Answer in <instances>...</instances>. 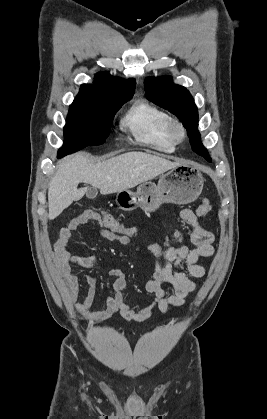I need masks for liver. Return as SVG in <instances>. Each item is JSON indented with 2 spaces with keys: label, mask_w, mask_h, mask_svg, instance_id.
<instances>
[{
  "label": "liver",
  "mask_w": 267,
  "mask_h": 419,
  "mask_svg": "<svg viewBox=\"0 0 267 419\" xmlns=\"http://www.w3.org/2000/svg\"><path fill=\"white\" fill-rule=\"evenodd\" d=\"M180 163L145 152H127L94 164L88 154L68 156L57 164V171L48 185L50 220L58 217L73 201L80 200L86 188L78 189L83 182L99 188L107 195L128 190L154 179Z\"/></svg>",
  "instance_id": "obj_1"
}]
</instances>
